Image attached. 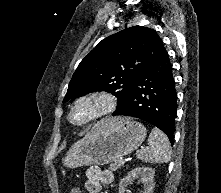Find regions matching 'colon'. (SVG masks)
Instances as JSON below:
<instances>
[{
	"mask_svg": "<svg viewBox=\"0 0 221 193\" xmlns=\"http://www.w3.org/2000/svg\"><path fill=\"white\" fill-rule=\"evenodd\" d=\"M74 188L76 189L77 193H81V192H80V188H78V187H73L72 189H74ZM71 191H72V190H71ZM70 193H71V192H70Z\"/></svg>",
	"mask_w": 221,
	"mask_h": 193,
	"instance_id": "colon-1",
	"label": "colon"
}]
</instances>
